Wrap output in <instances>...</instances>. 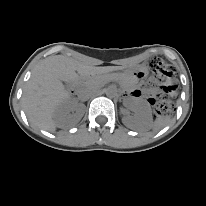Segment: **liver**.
<instances>
[{
    "instance_id": "obj_1",
    "label": "liver",
    "mask_w": 206,
    "mask_h": 206,
    "mask_svg": "<svg viewBox=\"0 0 206 206\" xmlns=\"http://www.w3.org/2000/svg\"><path fill=\"white\" fill-rule=\"evenodd\" d=\"M92 66L85 62L64 55L52 56L39 63L36 72L27 83L24 92L25 108L29 119L38 121L44 126H71L76 124L83 111L73 109L74 114L60 115L65 88L63 81L79 73L94 75Z\"/></svg>"
}]
</instances>
